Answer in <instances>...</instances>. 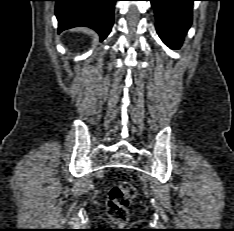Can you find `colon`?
<instances>
[{
  "mask_svg": "<svg viewBox=\"0 0 234 231\" xmlns=\"http://www.w3.org/2000/svg\"><path fill=\"white\" fill-rule=\"evenodd\" d=\"M136 195L134 186L124 181L112 187L107 195L106 210L108 216L116 223L124 225L128 222V206Z\"/></svg>",
  "mask_w": 234,
  "mask_h": 231,
  "instance_id": "obj_1",
  "label": "colon"
}]
</instances>
